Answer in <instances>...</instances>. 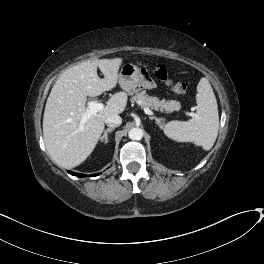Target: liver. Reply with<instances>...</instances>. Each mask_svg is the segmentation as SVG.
<instances>
[{
  "mask_svg": "<svg viewBox=\"0 0 264 264\" xmlns=\"http://www.w3.org/2000/svg\"><path fill=\"white\" fill-rule=\"evenodd\" d=\"M122 62V58L87 60L65 70L54 84L44 110L43 137L58 165L73 168L84 162L96 147L105 120L125 110L127 94L117 92L101 111L81 122L87 112V96L96 97L115 88Z\"/></svg>",
  "mask_w": 264,
  "mask_h": 264,
  "instance_id": "6515ba94",
  "label": "liver"
}]
</instances>
